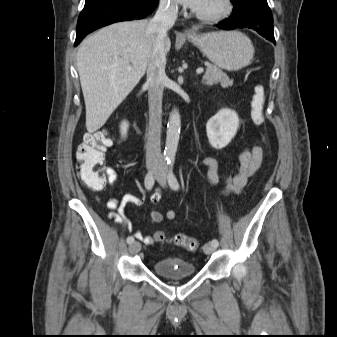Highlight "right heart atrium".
Wrapping results in <instances>:
<instances>
[{"instance_id":"right-heart-atrium-1","label":"right heart atrium","mask_w":337,"mask_h":337,"mask_svg":"<svg viewBox=\"0 0 337 337\" xmlns=\"http://www.w3.org/2000/svg\"><path fill=\"white\" fill-rule=\"evenodd\" d=\"M161 6L170 13L177 12V5L174 0H160Z\"/></svg>"}]
</instances>
